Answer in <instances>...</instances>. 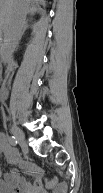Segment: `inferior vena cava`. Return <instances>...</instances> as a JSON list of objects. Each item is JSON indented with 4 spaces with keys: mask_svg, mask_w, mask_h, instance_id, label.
Returning <instances> with one entry per match:
<instances>
[{
    "mask_svg": "<svg viewBox=\"0 0 103 193\" xmlns=\"http://www.w3.org/2000/svg\"><path fill=\"white\" fill-rule=\"evenodd\" d=\"M22 24L20 19V13H17L14 19V22L11 26L10 34L5 39V42L2 46V60L5 64L9 63L12 60L13 52L17 46L18 40L20 38Z\"/></svg>",
    "mask_w": 103,
    "mask_h": 193,
    "instance_id": "602c4592",
    "label": "inferior vena cava"
}]
</instances>
